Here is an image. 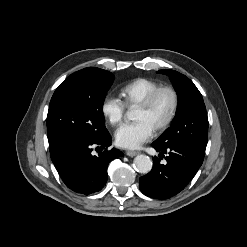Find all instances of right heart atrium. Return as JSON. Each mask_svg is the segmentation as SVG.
Here are the masks:
<instances>
[{
  "mask_svg": "<svg viewBox=\"0 0 247 247\" xmlns=\"http://www.w3.org/2000/svg\"><path fill=\"white\" fill-rule=\"evenodd\" d=\"M103 117L111 124L117 125L121 122L124 112V103L114 96L107 95L103 98L100 106Z\"/></svg>",
  "mask_w": 247,
  "mask_h": 247,
  "instance_id": "d8ad5b80",
  "label": "right heart atrium"
}]
</instances>
